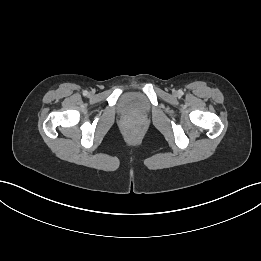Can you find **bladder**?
I'll return each instance as SVG.
<instances>
[{"instance_id": "obj_1", "label": "bladder", "mask_w": 261, "mask_h": 261, "mask_svg": "<svg viewBox=\"0 0 261 261\" xmlns=\"http://www.w3.org/2000/svg\"><path fill=\"white\" fill-rule=\"evenodd\" d=\"M119 110L126 116L142 117L148 114L150 103L142 92H127L119 100Z\"/></svg>"}]
</instances>
